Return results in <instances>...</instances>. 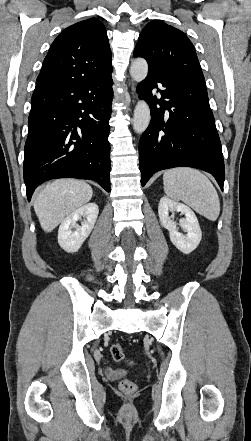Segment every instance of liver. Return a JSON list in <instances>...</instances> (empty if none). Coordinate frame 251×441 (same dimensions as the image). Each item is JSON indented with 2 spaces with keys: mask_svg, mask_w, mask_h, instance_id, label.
Returning <instances> with one entry per match:
<instances>
[{
  "mask_svg": "<svg viewBox=\"0 0 251 441\" xmlns=\"http://www.w3.org/2000/svg\"><path fill=\"white\" fill-rule=\"evenodd\" d=\"M93 190L84 181L59 179L49 182L36 194L33 206L45 232L54 230L66 216L89 202Z\"/></svg>",
  "mask_w": 251,
  "mask_h": 441,
  "instance_id": "obj_1",
  "label": "liver"
}]
</instances>
